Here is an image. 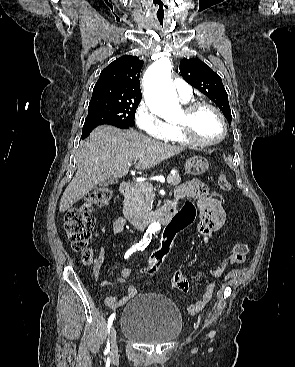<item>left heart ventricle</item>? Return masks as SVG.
I'll list each match as a JSON object with an SVG mask.
<instances>
[{
    "mask_svg": "<svg viewBox=\"0 0 295 367\" xmlns=\"http://www.w3.org/2000/svg\"><path fill=\"white\" fill-rule=\"evenodd\" d=\"M185 117L181 113L177 122ZM192 127L195 135L203 141H212L220 137L222 126L217 115L209 108H201L196 112L192 119Z\"/></svg>",
    "mask_w": 295,
    "mask_h": 367,
    "instance_id": "b2bd125f",
    "label": "left heart ventricle"
}]
</instances>
